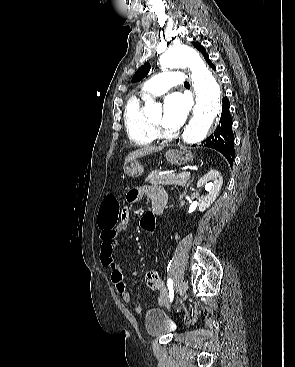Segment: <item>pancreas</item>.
I'll list each match as a JSON object with an SVG mask.
<instances>
[{"label":"pancreas","mask_w":295,"mask_h":367,"mask_svg":"<svg viewBox=\"0 0 295 367\" xmlns=\"http://www.w3.org/2000/svg\"><path fill=\"white\" fill-rule=\"evenodd\" d=\"M152 185H185L189 182V176L183 177L180 174H150L146 179Z\"/></svg>","instance_id":"cf45deb5"}]
</instances>
